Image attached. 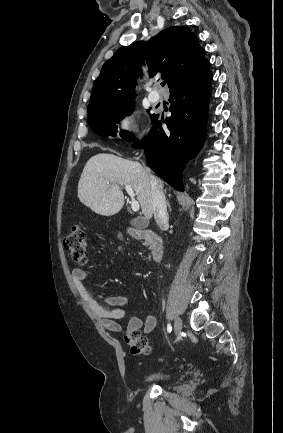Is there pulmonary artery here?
I'll list each match as a JSON object with an SVG mask.
<instances>
[{
    "mask_svg": "<svg viewBox=\"0 0 283 433\" xmlns=\"http://www.w3.org/2000/svg\"><path fill=\"white\" fill-rule=\"evenodd\" d=\"M148 99H149V101L151 103L157 104V103H159L161 101V96L149 93L148 94Z\"/></svg>",
    "mask_w": 283,
    "mask_h": 433,
    "instance_id": "1",
    "label": "pulmonary artery"
}]
</instances>
